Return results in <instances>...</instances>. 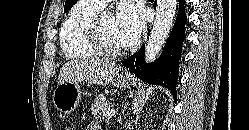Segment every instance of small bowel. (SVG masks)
<instances>
[{
	"mask_svg": "<svg viewBox=\"0 0 249 130\" xmlns=\"http://www.w3.org/2000/svg\"><path fill=\"white\" fill-rule=\"evenodd\" d=\"M87 130H101V127L97 123H90Z\"/></svg>",
	"mask_w": 249,
	"mask_h": 130,
	"instance_id": "c3829d8e",
	"label": "small bowel"
}]
</instances>
